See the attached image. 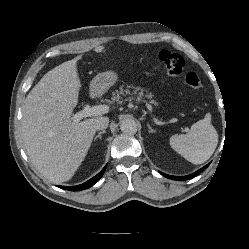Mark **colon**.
Masks as SVG:
<instances>
[{
	"instance_id": "1",
	"label": "colon",
	"mask_w": 249,
	"mask_h": 249,
	"mask_svg": "<svg viewBox=\"0 0 249 249\" xmlns=\"http://www.w3.org/2000/svg\"><path fill=\"white\" fill-rule=\"evenodd\" d=\"M153 55L159 60L169 75L182 78L193 89L202 87V81L195 72L185 71L184 59L179 54L169 50H157Z\"/></svg>"
}]
</instances>
